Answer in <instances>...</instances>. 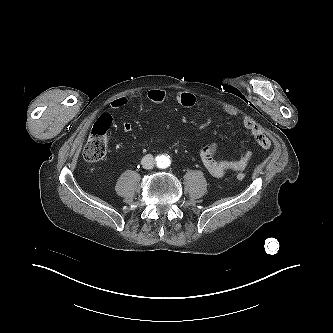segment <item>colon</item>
<instances>
[{"label": "colon", "instance_id": "colon-1", "mask_svg": "<svg viewBox=\"0 0 333 333\" xmlns=\"http://www.w3.org/2000/svg\"><path fill=\"white\" fill-rule=\"evenodd\" d=\"M112 124L109 114H102L95 122L83 150V156L88 162H97L104 158L107 152V132ZM245 174H237L238 180H243Z\"/></svg>", "mask_w": 333, "mask_h": 333}]
</instances>
